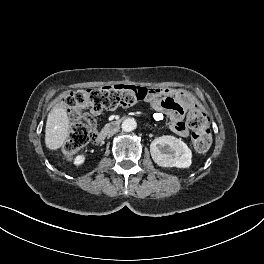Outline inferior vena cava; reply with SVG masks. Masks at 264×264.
I'll return each mask as SVG.
<instances>
[{"instance_id":"inferior-vena-cava-1","label":"inferior vena cava","mask_w":264,"mask_h":264,"mask_svg":"<svg viewBox=\"0 0 264 264\" xmlns=\"http://www.w3.org/2000/svg\"><path fill=\"white\" fill-rule=\"evenodd\" d=\"M121 131H122V128L121 127H118L113 132L109 133L107 135V138L108 139H111L112 137H115L116 135H118Z\"/></svg>"}]
</instances>
